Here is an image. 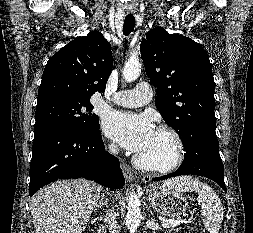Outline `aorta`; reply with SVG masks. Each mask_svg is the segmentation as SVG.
Returning <instances> with one entry per match:
<instances>
[{
  "label": "aorta",
  "instance_id": "762f6f07",
  "mask_svg": "<svg viewBox=\"0 0 253 233\" xmlns=\"http://www.w3.org/2000/svg\"><path fill=\"white\" fill-rule=\"evenodd\" d=\"M141 73V63L138 60H132L125 64L123 77L127 82L136 80ZM128 211L125 218V224L131 233H135L139 227L141 219L140 199L135 193H131L128 199Z\"/></svg>",
  "mask_w": 253,
  "mask_h": 233
}]
</instances>
